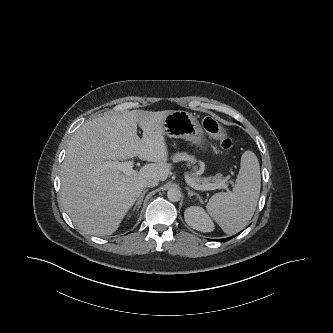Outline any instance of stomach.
<instances>
[{"instance_id": "stomach-1", "label": "stomach", "mask_w": 333, "mask_h": 333, "mask_svg": "<svg viewBox=\"0 0 333 333\" xmlns=\"http://www.w3.org/2000/svg\"><path fill=\"white\" fill-rule=\"evenodd\" d=\"M166 135L181 138L191 142L200 149H204V131L195 116L186 111H173L163 121Z\"/></svg>"}]
</instances>
